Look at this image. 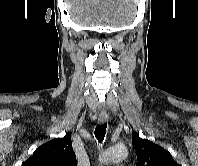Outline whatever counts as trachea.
<instances>
[{"mask_svg": "<svg viewBox=\"0 0 198 166\" xmlns=\"http://www.w3.org/2000/svg\"><path fill=\"white\" fill-rule=\"evenodd\" d=\"M107 123H103L101 125H97L95 128V137L98 142H103L105 134H106Z\"/></svg>", "mask_w": 198, "mask_h": 166, "instance_id": "obj_1", "label": "trachea"}]
</instances>
